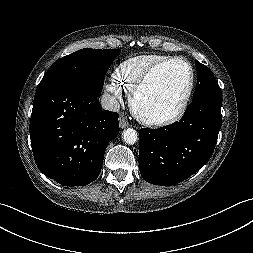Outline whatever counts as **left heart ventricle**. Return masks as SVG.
Segmentation results:
<instances>
[{
    "instance_id": "1",
    "label": "left heart ventricle",
    "mask_w": 253,
    "mask_h": 253,
    "mask_svg": "<svg viewBox=\"0 0 253 253\" xmlns=\"http://www.w3.org/2000/svg\"><path fill=\"white\" fill-rule=\"evenodd\" d=\"M189 69L182 62H173L157 70L138 98L142 113L164 117L175 112L189 85Z\"/></svg>"
}]
</instances>
